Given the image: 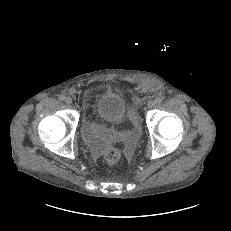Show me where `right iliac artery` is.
I'll return each instance as SVG.
<instances>
[{
  "label": "right iliac artery",
  "instance_id": "right-iliac-artery-1",
  "mask_svg": "<svg viewBox=\"0 0 231 231\" xmlns=\"http://www.w3.org/2000/svg\"><path fill=\"white\" fill-rule=\"evenodd\" d=\"M59 99H60L61 101H64V100H65V97H64L63 95H60V96H59Z\"/></svg>",
  "mask_w": 231,
  "mask_h": 231
}]
</instances>
